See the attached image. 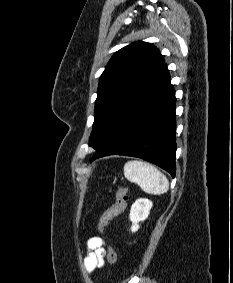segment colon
I'll list each match as a JSON object with an SVG mask.
<instances>
[{
  "label": "colon",
  "mask_w": 233,
  "mask_h": 283,
  "mask_svg": "<svg viewBox=\"0 0 233 283\" xmlns=\"http://www.w3.org/2000/svg\"><path fill=\"white\" fill-rule=\"evenodd\" d=\"M115 198V203L110 206L100 217L99 230L102 233L105 231V228L109 222L124 211L128 200L127 189L122 185L117 186ZM107 258L111 265L116 264L117 255L114 249L110 246H107Z\"/></svg>",
  "instance_id": "1"
}]
</instances>
